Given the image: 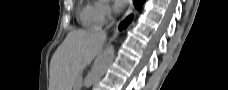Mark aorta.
Here are the masks:
<instances>
[{"label":"aorta","mask_w":228,"mask_h":90,"mask_svg":"<svg viewBox=\"0 0 228 90\" xmlns=\"http://www.w3.org/2000/svg\"><path fill=\"white\" fill-rule=\"evenodd\" d=\"M114 47L109 46L104 53L96 60L92 70L87 75L84 86L90 88L97 83L99 79L105 74L109 66L114 60Z\"/></svg>","instance_id":"aorta-1"}]
</instances>
